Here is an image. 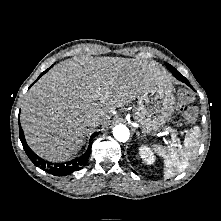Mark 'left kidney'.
Masks as SVG:
<instances>
[{
    "label": "left kidney",
    "mask_w": 221,
    "mask_h": 221,
    "mask_svg": "<svg viewBox=\"0 0 221 221\" xmlns=\"http://www.w3.org/2000/svg\"><path fill=\"white\" fill-rule=\"evenodd\" d=\"M139 155L147 164H153L155 161V157L151 149L145 145L139 148Z\"/></svg>",
    "instance_id": "5707ae66"
}]
</instances>
